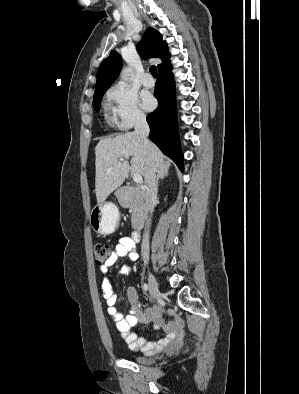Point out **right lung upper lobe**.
Wrapping results in <instances>:
<instances>
[{
	"label": "right lung upper lobe",
	"instance_id": "cb5924a9",
	"mask_svg": "<svg viewBox=\"0 0 299 394\" xmlns=\"http://www.w3.org/2000/svg\"><path fill=\"white\" fill-rule=\"evenodd\" d=\"M137 50L144 58H160L162 63L158 65V69L170 62L167 43L162 40V35L152 27L146 30L142 40L137 44ZM121 67L122 59L119 53L112 51L99 67L94 95L106 91L111 86Z\"/></svg>",
	"mask_w": 299,
	"mask_h": 394
}]
</instances>
